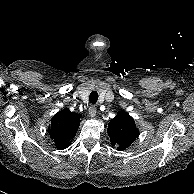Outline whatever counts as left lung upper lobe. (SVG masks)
Wrapping results in <instances>:
<instances>
[{
	"instance_id": "1",
	"label": "left lung upper lobe",
	"mask_w": 194,
	"mask_h": 194,
	"mask_svg": "<svg viewBox=\"0 0 194 194\" xmlns=\"http://www.w3.org/2000/svg\"><path fill=\"white\" fill-rule=\"evenodd\" d=\"M107 133L111 144L117 147L119 151L129 147L139 135L134 119L124 111H120L109 122Z\"/></svg>"
}]
</instances>
